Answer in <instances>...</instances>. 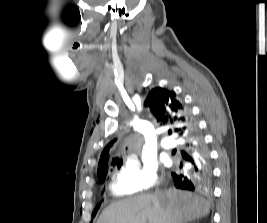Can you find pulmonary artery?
<instances>
[{
	"mask_svg": "<svg viewBox=\"0 0 267 223\" xmlns=\"http://www.w3.org/2000/svg\"><path fill=\"white\" fill-rule=\"evenodd\" d=\"M160 144L164 149H171L175 146L174 142L169 138L162 139Z\"/></svg>",
	"mask_w": 267,
	"mask_h": 223,
	"instance_id": "obj_1",
	"label": "pulmonary artery"
}]
</instances>
